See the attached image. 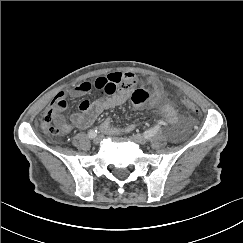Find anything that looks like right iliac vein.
Returning <instances> with one entry per match:
<instances>
[{
  "mask_svg": "<svg viewBox=\"0 0 243 243\" xmlns=\"http://www.w3.org/2000/svg\"><path fill=\"white\" fill-rule=\"evenodd\" d=\"M102 141V136L98 135L93 139L94 144H99Z\"/></svg>",
  "mask_w": 243,
  "mask_h": 243,
  "instance_id": "obj_1",
  "label": "right iliac vein"
}]
</instances>
